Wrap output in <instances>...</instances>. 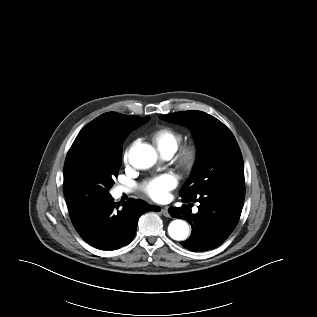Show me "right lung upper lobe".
I'll return each mask as SVG.
<instances>
[{
    "mask_svg": "<svg viewBox=\"0 0 317 317\" xmlns=\"http://www.w3.org/2000/svg\"><path fill=\"white\" fill-rule=\"evenodd\" d=\"M138 118L140 117H128L116 112L104 113L88 123L79 132L74 143L94 138L97 140L107 141L114 146L122 148L123 141L127 136L124 133L125 129L132 126Z\"/></svg>",
    "mask_w": 317,
    "mask_h": 317,
    "instance_id": "obj_1",
    "label": "right lung upper lobe"
}]
</instances>
